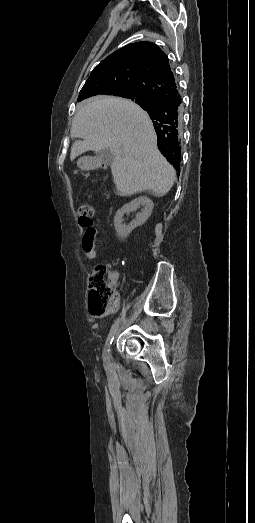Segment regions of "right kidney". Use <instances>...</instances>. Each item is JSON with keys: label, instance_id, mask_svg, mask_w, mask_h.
Instances as JSON below:
<instances>
[{"label": "right kidney", "instance_id": "1", "mask_svg": "<svg viewBox=\"0 0 255 523\" xmlns=\"http://www.w3.org/2000/svg\"><path fill=\"white\" fill-rule=\"evenodd\" d=\"M139 206H144L143 212H141V214H137L136 220H134V222H130L129 226H124V224H122V218L124 214H128V212H136ZM153 208L154 204L150 198H147V196H140V198H135V200H132L130 204H125L123 208L117 210L116 216L114 218V224L118 236H120V238L123 240V238H127L128 234H130L134 228L145 224L146 220H148L149 216H151Z\"/></svg>", "mask_w": 255, "mask_h": 523}]
</instances>
